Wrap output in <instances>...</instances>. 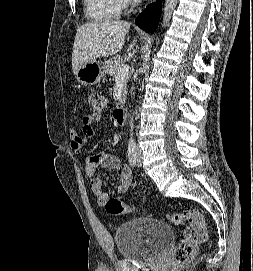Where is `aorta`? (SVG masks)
<instances>
[{"label": "aorta", "instance_id": "aorta-1", "mask_svg": "<svg viewBox=\"0 0 253 271\" xmlns=\"http://www.w3.org/2000/svg\"><path fill=\"white\" fill-rule=\"evenodd\" d=\"M177 1L178 0H165L163 8L162 27H166L169 24L172 13L176 8ZM129 125H130V136L132 137L134 131V112L132 113V116H130Z\"/></svg>", "mask_w": 253, "mask_h": 271}]
</instances>
